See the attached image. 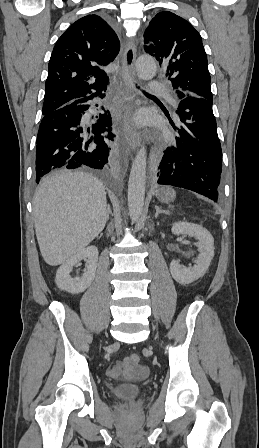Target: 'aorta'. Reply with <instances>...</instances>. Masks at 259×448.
<instances>
[{"label": "aorta", "instance_id": "obj_1", "mask_svg": "<svg viewBox=\"0 0 259 448\" xmlns=\"http://www.w3.org/2000/svg\"><path fill=\"white\" fill-rule=\"evenodd\" d=\"M136 70L140 79H152L157 70V64L151 56H140L136 61ZM147 153L141 147L132 163L128 181V210L133 222H136L143 210L146 184Z\"/></svg>", "mask_w": 259, "mask_h": 448}]
</instances>
